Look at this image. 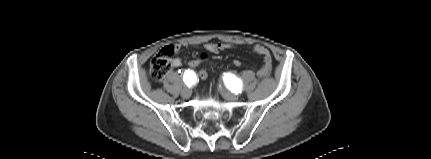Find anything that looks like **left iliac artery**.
<instances>
[{"label":"left iliac artery","mask_w":431,"mask_h":159,"mask_svg":"<svg viewBox=\"0 0 431 159\" xmlns=\"http://www.w3.org/2000/svg\"><path fill=\"white\" fill-rule=\"evenodd\" d=\"M226 86L234 93L238 94L242 91V81L236 78L234 75L227 74L224 77Z\"/></svg>","instance_id":"obj_1"}]
</instances>
